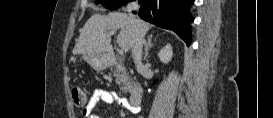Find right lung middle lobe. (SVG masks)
Returning a JSON list of instances; mask_svg holds the SVG:
<instances>
[{
  "label": "right lung middle lobe",
  "mask_w": 273,
  "mask_h": 118,
  "mask_svg": "<svg viewBox=\"0 0 273 118\" xmlns=\"http://www.w3.org/2000/svg\"><path fill=\"white\" fill-rule=\"evenodd\" d=\"M131 0H96V4H102L107 9L115 10Z\"/></svg>",
  "instance_id": "dd1d6c3e"
}]
</instances>
